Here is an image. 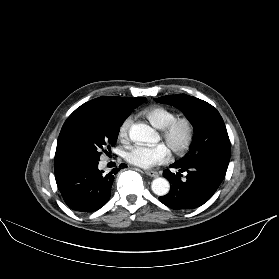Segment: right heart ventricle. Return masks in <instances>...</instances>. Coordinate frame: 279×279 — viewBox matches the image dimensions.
Listing matches in <instances>:
<instances>
[{"label": "right heart ventricle", "mask_w": 279, "mask_h": 279, "mask_svg": "<svg viewBox=\"0 0 279 279\" xmlns=\"http://www.w3.org/2000/svg\"><path fill=\"white\" fill-rule=\"evenodd\" d=\"M142 115L156 128L162 129L172 119L177 117L175 111L163 107V106H152L142 111Z\"/></svg>", "instance_id": "obj_1"}]
</instances>
